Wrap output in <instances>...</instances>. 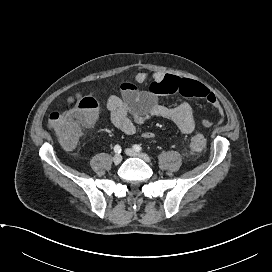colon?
<instances>
[{
    "instance_id": "5ec220e1",
    "label": "colon",
    "mask_w": 272,
    "mask_h": 272,
    "mask_svg": "<svg viewBox=\"0 0 272 272\" xmlns=\"http://www.w3.org/2000/svg\"><path fill=\"white\" fill-rule=\"evenodd\" d=\"M96 109L97 103L93 98L74 96L62 111L50 114L48 123L60 142L66 147H72L83 129L91 124ZM205 145L206 140L200 134L190 140V148L194 152H201Z\"/></svg>"
}]
</instances>
